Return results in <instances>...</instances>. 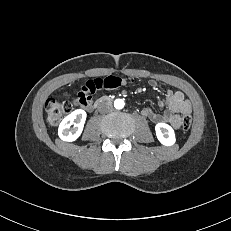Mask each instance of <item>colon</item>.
<instances>
[{
    "label": "colon",
    "instance_id": "colon-1",
    "mask_svg": "<svg viewBox=\"0 0 231 231\" xmlns=\"http://www.w3.org/2000/svg\"><path fill=\"white\" fill-rule=\"evenodd\" d=\"M47 122L50 126H57L64 116L72 111V104L69 101H59L55 98H49L45 104ZM192 123L190 114L182 117V128L188 130Z\"/></svg>",
    "mask_w": 231,
    "mask_h": 231
}]
</instances>
